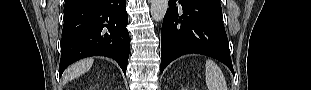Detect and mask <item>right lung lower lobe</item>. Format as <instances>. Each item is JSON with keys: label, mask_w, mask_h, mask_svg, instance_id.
<instances>
[{"label": "right lung lower lobe", "mask_w": 311, "mask_h": 90, "mask_svg": "<svg viewBox=\"0 0 311 90\" xmlns=\"http://www.w3.org/2000/svg\"><path fill=\"white\" fill-rule=\"evenodd\" d=\"M126 0H66L59 75L89 56L116 60L126 73L129 33Z\"/></svg>", "instance_id": "1"}]
</instances>
